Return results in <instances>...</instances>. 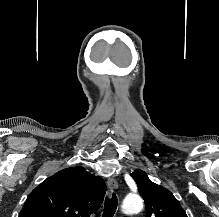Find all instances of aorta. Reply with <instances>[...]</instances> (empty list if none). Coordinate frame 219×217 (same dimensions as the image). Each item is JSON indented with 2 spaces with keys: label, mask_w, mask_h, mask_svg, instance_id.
Masks as SVG:
<instances>
[{
  "label": "aorta",
  "mask_w": 219,
  "mask_h": 217,
  "mask_svg": "<svg viewBox=\"0 0 219 217\" xmlns=\"http://www.w3.org/2000/svg\"><path fill=\"white\" fill-rule=\"evenodd\" d=\"M143 209V200L138 195H130L123 202V212L125 214H133Z\"/></svg>",
  "instance_id": "762f6f07"
}]
</instances>
